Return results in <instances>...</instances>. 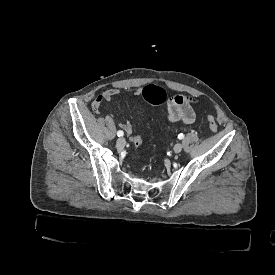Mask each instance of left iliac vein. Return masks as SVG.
<instances>
[{
    "label": "left iliac vein",
    "mask_w": 275,
    "mask_h": 275,
    "mask_svg": "<svg viewBox=\"0 0 275 275\" xmlns=\"http://www.w3.org/2000/svg\"><path fill=\"white\" fill-rule=\"evenodd\" d=\"M182 148H183L182 144L181 143H177V144H175L173 150H174L175 153H179V152L182 151Z\"/></svg>",
    "instance_id": "obj_1"
}]
</instances>
